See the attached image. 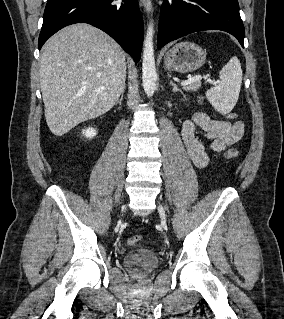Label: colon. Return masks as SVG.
Segmentation results:
<instances>
[{
	"label": "colon",
	"mask_w": 284,
	"mask_h": 319,
	"mask_svg": "<svg viewBox=\"0 0 284 319\" xmlns=\"http://www.w3.org/2000/svg\"><path fill=\"white\" fill-rule=\"evenodd\" d=\"M227 118L229 120H235L237 118V114L234 113V112H230L228 115H227ZM238 156V152L234 149H231V150H228L226 153H225V157L227 159H234ZM142 240V237L140 235H133L131 237L128 238V244L131 245V246H134V245H137L140 241Z\"/></svg>",
	"instance_id": "colon-1"
}]
</instances>
